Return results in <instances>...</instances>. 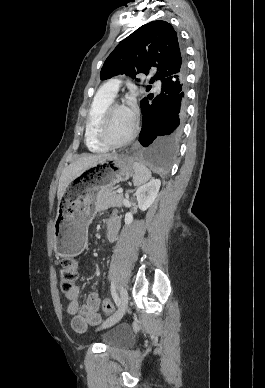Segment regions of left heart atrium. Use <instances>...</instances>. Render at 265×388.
<instances>
[{
  "mask_svg": "<svg viewBox=\"0 0 265 388\" xmlns=\"http://www.w3.org/2000/svg\"><path fill=\"white\" fill-rule=\"evenodd\" d=\"M128 118L134 122L138 117V108L134 101H130L125 108Z\"/></svg>",
  "mask_w": 265,
  "mask_h": 388,
  "instance_id": "1",
  "label": "left heart atrium"
}]
</instances>
